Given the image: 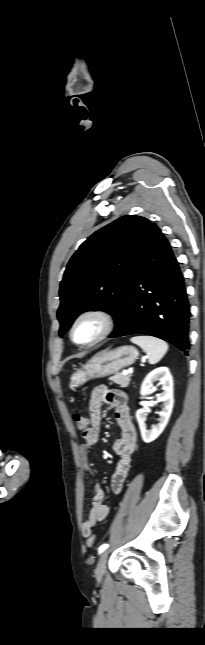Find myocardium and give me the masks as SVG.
Returning <instances> with one entry per match:
<instances>
[{"instance_id":"obj_1","label":"myocardium","mask_w":205,"mask_h":645,"mask_svg":"<svg viewBox=\"0 0 205 645\" xmlns=\"http://www.w3.org/2000/svg\"><path fill=\"white\" fill-rule=\"evenodd\" d=\"M88 318L96 319L100 323V331L92 340L88 342H79L75 339V329L81 321ZM113 328L114 318L108 311L99 308H92L84 310L79 315H77V317L71 324L69 336L71 341L76 345L82 347H90L104 340L113 331Z\"/></svg>"}]
</instances>
